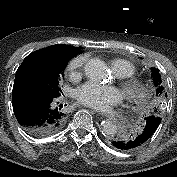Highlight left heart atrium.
<instances>
[{"mask_svg": "<svg viewBox=\"0 0 177 177\" xmlns=\"http://www.w3.org/2000/svg\"><path fill=\"white\" fill-rule=\"evenodd\" d=\"M75 95L81 104L98 111L109 110L120 104L124 97L120 89L95 82L83 84L76 90Z\"/></svg>", "mask_w": 177, "mask_h": 177, "instance_id": "39dd6f15", "label": "left heart atrium"}]
</instances>
